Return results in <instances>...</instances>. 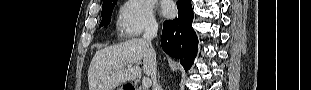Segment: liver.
<instances>
[{
    "instance_id": "obj_1",
    "label": "liver",
    "mask_w": 311,
    "mask_h": 90,
    "mask_svg": "<svg viewBox=\"0 0 311 90\" xmlns=\"http://www.w3.org/2000/svg\"><path fill=\"white\" fill-rule=\"evenodd\" d=\"M143 60V68L139 64ZM156 52L147 41L133 38L96 52L88 70L89 90H114L139 78L142 71L151 76Z\"/></svg>"
}]
</instances>
